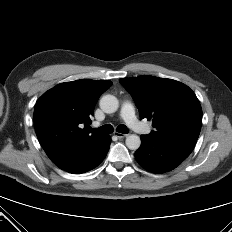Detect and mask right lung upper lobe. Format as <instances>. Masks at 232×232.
I'll list each match as a JSON object with an SVG mask.
<instances>
[{"label": "right lung upper lobe", "mask_w": 232, "mask_h": 232, "mask_svg": "<svg viewBox=\"0 0 232 232\" xmlns=\"http://www.w3.org/2000/svg\"><path fill=\"white\" fill-rule=\"evenodd\" d=\"M111 85L108 80L81 79L58 84L39 98L34 110L35 131L53 162L92 149L105 138L89 135L80 127L90 123L96 102Z\"/></svg>", "instance_id": "right-lung-upper-lobe-1"}]
</instances>
